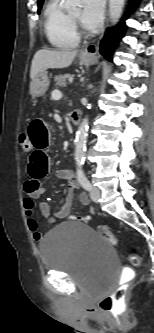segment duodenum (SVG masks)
<instances>
[{"label": "duodenum", "mask_w": 154, "mask_h": 333, "mask_svg": "<svg viewBox=\"0 0 154 333\" xmlns=\"http://www.w3.org/2000/svg\"><path fill=\"white\" fill-rule=\"evenodd\" d=\"M82 117V111L79 109H75L71 112L70 120L73 125H78L80 123Z\"/></svg>", "instance_id": "duodenum-1"}]
</instances>
